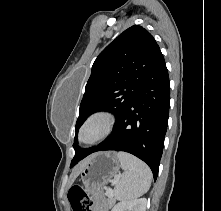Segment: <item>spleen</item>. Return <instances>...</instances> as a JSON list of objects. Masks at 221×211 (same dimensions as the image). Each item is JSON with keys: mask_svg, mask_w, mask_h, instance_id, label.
Listing matches in <instances>:
<instances>
[{"mask_svg": "<svg viewBox=\"0 0 221 211\" xmlns=\"http://www.w3.org/2000/svg\"><path fill=\"white\" fill-rule=\"evenodd\" d=\"M116 156L124 172L114 189L115 198L132 200L145 194L152 180L150 168L131 154L118 152Z\"/></svg>", "mask_w": 221, "mask_h": 211, "instance_id": "3e777b00", "label": "spleen"}]
</instances>
